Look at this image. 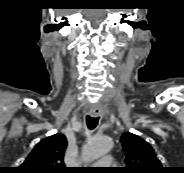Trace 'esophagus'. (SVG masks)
<instances>
[{
	"instance_id": "esophagus-1",
	"label": "esophagus",
	"mask_w": 184,
	"mask_h": 173,
	"mask_svg": "<svg viewBox=\"0 0 184 173\" xmlns=\"http://www.w3.org/2000/svg\"><path fill=\"white\" fill-rule=\"evenodd\" d=\"M89 114L93 117L99 116L101 115V109H99L98 107H94L89 111Z\"/></svg>"
}]
</instances>
